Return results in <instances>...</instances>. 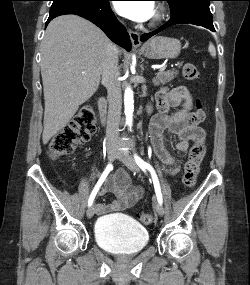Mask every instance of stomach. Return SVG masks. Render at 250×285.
Wrapping results in <instances>:
<instances>
[{"instance_id": "1", "label": "stomach", "mask_w": 250, "mask_h": 285, "mask_svg": "<svg viewBox=\"0 0 250 285\" xmlns=\"http://www.w3.org/2000/svg\"><path fill=\"white\" fill-rule=\"evenodd\" d=\"M145 57L149 59L176 58L181 51L179 40L170 37L157 36L143 46Z\"/></svg>"}]
</instances>
